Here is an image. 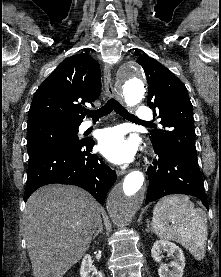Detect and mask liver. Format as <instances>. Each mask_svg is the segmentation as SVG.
Segmentation results:
<instances>
[{"instance_id":"6515ba94","label":"liver","mask_w":221,"mask_h":277,"mask_svg":"<svg viewBox=\"0 0 221 277\" xmlns=\"http://www.w3.org/2000/svg\"><path fill=\"white\" fill-rule=\"evenodd\" d=\"M101 207L85 190L49 185L27 200L23 215L34 277H63L88 250Z\"/></svg>"}]
</instances>
